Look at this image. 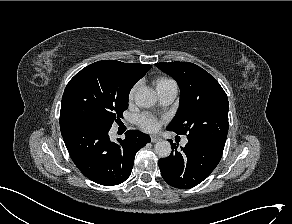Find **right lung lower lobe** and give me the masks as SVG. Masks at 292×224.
Returning a JSON list of instances; mask_svg holds the SVG:
<instances>
[{
    "instance_id": "obj_1",
    "label": "right lung lower lobe",
    "mask_w": 292,
    "mask_h": 224,
    "mask_svg": "<svg viewBox=\"0 0 292 224\" xmlns=\"http://www.w3.org/2000/svg\"><path fill=\"white\" fill-rule=\"evenodd\" d=\"M61 134L71 159L90 180L105 186L118 185L131 174L137 151L150 142L138 130L126 132L125 139L112 142L110 128L81 119L60 121Z\"/></svg>"
}]
</instances>
